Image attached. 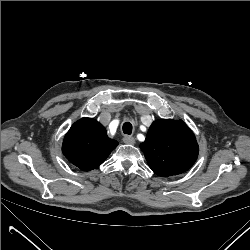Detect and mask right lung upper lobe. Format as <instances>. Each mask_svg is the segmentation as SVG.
<instances>
[{
	"label": "right lung upper lobe",
	"mask_w": 250,
	"mask_h": 250,
	"mask_svg": "<svg viewBox=\"0 0 250 250\" xmlns=\"http://www.w3.org/2000/svg\"><path fill=\"white\" fill-rule=\"evenodd\" d=\"M118 142L107 136L105 127L93 118L76 121L62 144L64 156L76 167L90 171L99 167Z\"/></svg>",
	"instance_id": "1"
}]
</instances>
